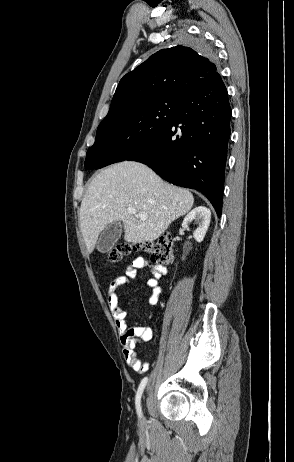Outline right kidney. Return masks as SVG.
<instances>
[{
    "instance_id": "1",
    "label": "right kidney",
    "mask_w": 294,
    "mask_h": 462,
    "mask_svg": "<svg viewBox=\"0 0 294 462\" xmlns=\"http://www.w3.org/2000/svg\"><path fill=\"white\" fill-rule=\"evenodd\" d=\"M210 220V210L204 206H198L187 214L183 220L182 227L187 228L192 221L197 222L198 227L194 231L193 237L197 242H202L210 225Z\"/></svg>"
}]
</instances>
